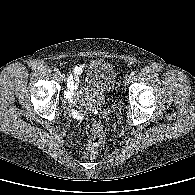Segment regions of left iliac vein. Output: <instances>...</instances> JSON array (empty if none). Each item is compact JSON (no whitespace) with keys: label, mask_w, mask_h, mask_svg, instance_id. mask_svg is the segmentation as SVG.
Here are the masks:
<instances>
[{"label":"left iliac vein","mask_w":195,"mask_h":195,"mask_svg":"<svg viewBox=\"0 0 195 195\" xmlns=\"http://www.w3.org/2000/svg\"><path fill=\"white\" fill-rule=\"evenodd\" d=\"M131 79H132L131 75L125 76V78H124V84H125V85L129 84L130 81H131Z\"/></svg>","instance_id":"4c4485c4"}]
</instances>
